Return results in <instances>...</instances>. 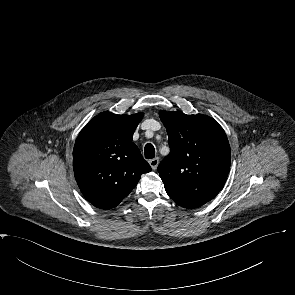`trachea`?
<instances>
[{
    "mask_svg": "<svg viewBox=\"0 0 295 295\" xmlns=\"http://www.w3.org/2000/svg\"><path fill=\"white\" fill-rule=\"evenodd\" d=\"M145 158L152 159L155 157V149L154 146L150 143H147L144 148Z\"/></svg>",
    "mask_w": 295,
    "mask_h": 295,
    "instance_id": "3493384b",
    "label": "trachea"
}]
</instances>
